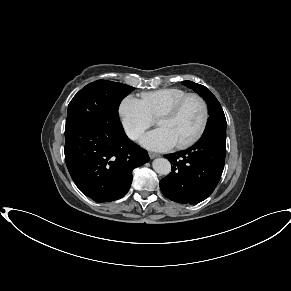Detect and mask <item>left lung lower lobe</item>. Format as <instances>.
<instances>
[{
	"mask_svg": "<svg viewBox=\"0 0 291 291\" xmlns=\"http://www.w3.org/2000/svg\"><path fill=\"white\" fill-rule=\"evenodd\" d=\"M226 135H203L187 150L165 155L172 172L160 181L168 199L196 204L208 198L217 186L225 163Z\"/></svg>",
	"mask_w": 291,
	"mask_h": 291,
	"instance_id": "0a47b994",
	"label": "left lung lower lobe"
}]
</instances>
